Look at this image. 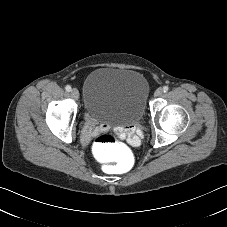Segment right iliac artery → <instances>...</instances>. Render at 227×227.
<instances>
[{
  "mask_svg": "<svg viewBox=\"0 0 227 227\" xmlns=\"http://www.w3.org/2000/svg\"><path fill=\"white\" fill-rule=\"evenodd\" d=\"M66 91L70 92L71 91V87L69 85H66L65 87Z\"/></svg>",
  "mask_w": 227,
  "mask_h": 227,
  "instance_id": "obj_1",
  "label": "right iliac artery"
}]
</instances>
